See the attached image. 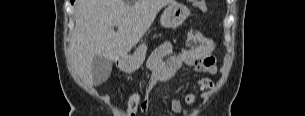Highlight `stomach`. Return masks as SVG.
I'll use <instances>...</instances> for the list:
<instances>
[{
	"label": "stomach",
	"mask_w": 305,
	"mask_h": 116,
	"mask_svg": "<svg viewBox=\"0 0 305 116\" xmlns=\"http://www.w3.org/2000/svg\"><path fill=\"white\" fill-rule=\"evenodd\" d=\"M189 9L181 4L174 2L165 8L161 15V25L168 29H174L180 26L189 16ZM147 45L140 44L132 55H126L119 60L118 67L121 71L132 73L140 68L146 58Z\"/></svg>",
	"instance_id": "stomach-1"
}]
</instances>
